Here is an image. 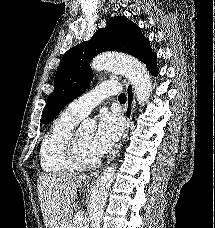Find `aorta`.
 <instances>
[{
    "label": "aorta",
    "mask_w": 215,
    "mask_h": 228,
    "mask_svg": "<svg viewBox=\"0 0 215 228\" xmlns=\"http://www.w3.org/2000/svg\"><path fill=\"white\" fill-rule=\"evenodd\" d=\"M90 66L96 72H100V70H118V72H121L130 80L137 96L138 104L144 106L148 102L152 94L151 76L145 66L138 62V60L129 58V56H119V58H116L114 54H100V56H96L92 60ZM115 172V166L105 168L104 172L100 174L95 182L89 210L90 228H101L104 206L107 194L114 180Z\"/></svg>",
    "instance_id": "762f6f07"
}]
</instances>
